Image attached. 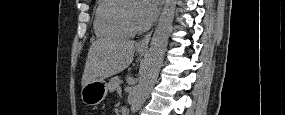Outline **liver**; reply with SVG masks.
I'll use <instances>...</instances> for the list:
<instances>
[{
    "mask_svg": "<svg viewBox=\"0 0 285 115\" xmlns=\"http://www.w3.org/2000/svg\"><path fill=\"white\" fill-rule=\"evenodd\" d=\"M133 40L126 38H100L89 49L82 76V87L86 84L120 73L134 58Z\"/></svg>",
    "mask_w": 285,
    "mask_h": 115,
    "instance_id": "liver-1",
    "label": "liver"
}]
</instances>
